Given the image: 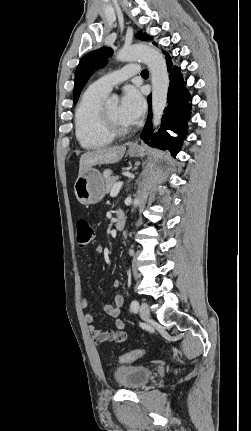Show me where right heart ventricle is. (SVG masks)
Returning <instances> with one entry per match:
<instances>
[{
    "label": "right heart ventricle",
    "instance_id": "e07e8e85",
    "mask_svg": "<svg viewBox=\"0 0 251 431\" xmlns=\"http://www.w3.org/2000/svg\"><path fill=\"white\" fill-rule=\"evenodd\" d=\"M106 93L89 86L82 94L75 110V134L85 149L109 145L114 137L102 126L100 110Z\"/></svg>",
    "mask_w": 251,
    "mask_h": 431
}]
</instances>
